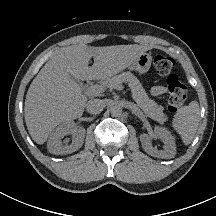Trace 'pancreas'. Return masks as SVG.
<instances>
[{
  "label": "pancreas",
  "mask_w": 216,
  "mask_h": 216,
  "mask_svg": "<svg viewBox=\"0 0 216 216\" xmlns=\"http://www.w3.org/2000/svg\"><path fill=\"white\" fill-rule=\"evenodd\" d=\"M123 82H127L131 91L132 96L137 105L144 111V113L151 119L163 123L167 120V117L163 113V107L158 106L157 103L151 100L146 94L143 86L139 80L130 72H125L110 78L105 79L101 82L103 88L110 90L116 89L118 85Z\"/></svg>",
  "instance_id": "1"
}]
</instances>
